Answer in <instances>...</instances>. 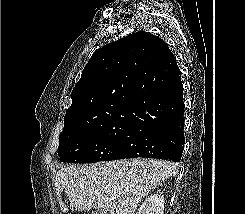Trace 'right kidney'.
Here are the masks:
<instances>
[{"instance_id": "ca27d5eb", "label": "right kidney", "mask_w": 245, "mask_h": 214, "mask_svg": "<svg viewBox=\"0 0 245 214\" xmlns=\"http://www.w3.org/2000/svg\"><path fill=\"white\" fill-rule=\"evenodd\" d=\"M164 196L155 193L148 196L141 204L136 214H164Z\"/></svg>"}]
</instances>
